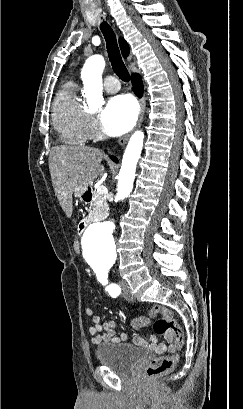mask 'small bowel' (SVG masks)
I'll use <instances>...</instances> for the list:
<instances>
[{
  "instance_id": "c3829d8e",
  "label": "small bowel",
  "mask_w": 243,
  "mask_h": 409,
  "mask_svg": "<svg viewBox=\"0 0 243 409\" xmlns=\"http://www.w3.org/2000/svg\"><path fill=\"white\" fill-rule=\"evenodd\" d=\"M86 314L93 316L92 323L89 327V332L92 335V342L94 344L101 343H125L127 342L126 333H121L118 335V330L116 328V323L114 321L102 322L101 319L94 315V310L91 307L86 308ZM171 341V340H169ZM134 345L147 347L151 350H154L158 353L163 352H174L176 346L173 343L169 344H160L155 335H151L149 340L146 341L139 336H134L132 339Z\"/></svg>"
}]
</instances>
